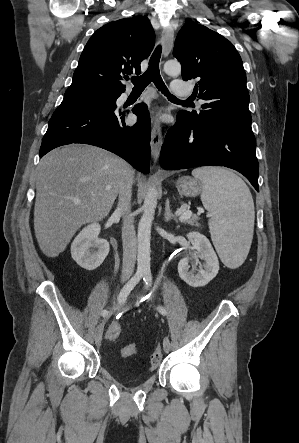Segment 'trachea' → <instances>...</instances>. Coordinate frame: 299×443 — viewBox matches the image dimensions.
Instances as JSON below:
<instances>
[{
	"mask_svg": "<svg viewBox=\"0 0 299 443\" xmlns=\"http://www.w3.org/2000/svg\"><path fill=\"white\" fill-rule=\"evenodd\" d=\"M161 52L162 47L161 45H158L150 58L149 67L146 72H144L141 76L132 77L131 81L134 84L133 91L142 92L151 82H153L156 88L161 91L162 94L167 96L168 99L175 102H181L179 99L170 94L169 90L167 89L165 83L161 78L159 70ZM185 102H188V100H186Z\"/></svg>",
	"mask_w": 299,
	"mask_h": 443,
	"instance_id": "3493384b",
	"label": "trachea"
}]
</instances>
